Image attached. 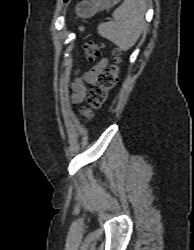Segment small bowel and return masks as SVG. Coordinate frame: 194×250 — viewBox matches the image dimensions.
I'll return each mask as SVG.
<instances>
[{"label": "small bowel", "mask_w": 194, "mask_h": 250, "mask_svg": "<svg viewBox=\"0 0 194 250\" xmlns=\"http://www.w3.org/2000/svg\"><path fill=\"white\" fill-rule=\"evenodd\" d=\"M106 66H107L106 60L100 61L97 65L93 67L92 70H90L83 76L84 81L89 84L95 83L97 81L99 74L105 69ZM85 96H86L85 86L83 85L76 86L73 95L74 101L80 103L84 100Z\"/></svg>", "instance_id": "1"}]
</instances>
